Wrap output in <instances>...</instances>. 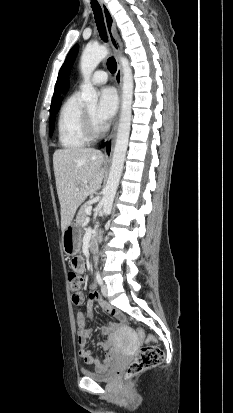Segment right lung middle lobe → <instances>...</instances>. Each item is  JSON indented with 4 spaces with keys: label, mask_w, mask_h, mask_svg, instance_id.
Instances as JSON below:
<instances>
[{
    "label": "right lung middle lobe",
    "mask_w": 233,
    "mask_h": 413,
    "mask_svg": "<svg viewBox=\"0 0 233 413\" xmlns=\"http://www.w3.org/2000/svg\"><path fill=\"white\" fill-rule=\"evenodd\" d=\"M58 105L57 107H52V109L50 110V123H49V131H50V136H52L53 133V129H54V115L57 113L58 109H59Z\"/></svg>",
    "instance_id": "1"
}]
</instances>
